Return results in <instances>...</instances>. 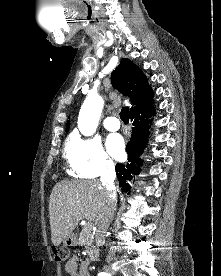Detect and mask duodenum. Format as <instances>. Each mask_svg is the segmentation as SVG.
<instances>
[{
    "mask_svg": "<svg viewBox=\"0 0 221 276\" xmlns=\"http://www.w3.org/2000/svg\"><path fill=\"white\" fill-rule=\"evenodd\" d=\"M89 257L91 260H97L99 257V251L97 249H90L89 250Z\"/></svg>",
    "mask_w": 221,
    "mask_h": 276,
    "instance_id": "410a0bca",
    "label": "duodenum"
}]
</instances>
